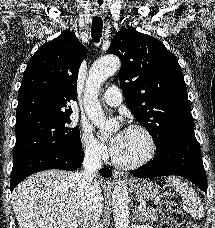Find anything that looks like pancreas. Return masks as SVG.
<instances>
[{
  "instance_id": "obj_1",
  "label": "pancreas",
  "mask_w": 215,
  "mask_h": 228,
  "mask_svg": "<svg viewBox=\"0 0 215 228\" xmlns=\"http://www.w3.org/2000/svg\"><path fill=\"white\" fill-rule=\"evenodd\" d=\"M142 216L144 220H159L155 208H147L145 212H142Z\"/></svg>"
}]
</instances>
